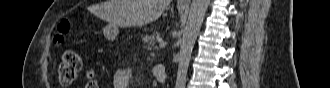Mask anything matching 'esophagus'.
I'll return each mask as SVG.
<instances>
[{"instance_id": "esophagus-1", "label": "esophagus", "mask_w": 330, "mask_h": 88, "mask_svg": "<svg viewBox=\"0 0 330 88\" xmlns=\"http://www.w3.org/2000/svg\"><path fill=\"white\" fill-rule=\"evenodd\" d=\"M190 3V0H179L178 4L183 6H188Z\"/></svg>"}]
</instances>
